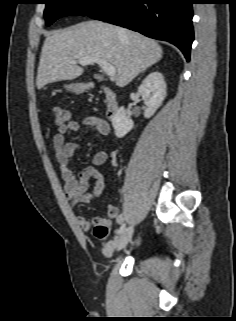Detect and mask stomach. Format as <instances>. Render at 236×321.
<instances>
[{"instance_id":"stomach-1","label":"stomach","mask_w":236,"mask_h":321,"mask_svg":"<svg viewBox=\"0 0 236 321\" xmlns=\"http://www.w3.org/2000/svg\"><path fill=\"white\" fill-rule=\"evenodd\" d=\"M68 91L74 92V93H83L87 89V85L83 83H75V84H70V85H65L64 86Z\"/></svg>"}]
</instances>
